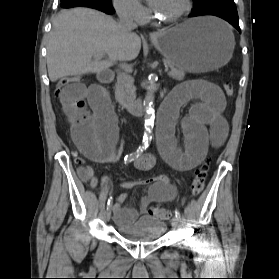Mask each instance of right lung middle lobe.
Returning <instances> with one entry per match:
<instances>
[{
    "mask_svg": "<svg viewBox=\"0 0 279 279\" xmlns=\"http://www.w3.org/2000/svg\"><path fill=\"white\" fill-rule=\"evenodd\" d=\"M101 2H103V3H105V4H109V5L112 4V3H111V0H101Z\"/></svg>",
    "mask_w": 279,
    "mask_h": 279,
    "instance_id": "obj_1",
    "label": "right lung middle lobe"
}]
</instances>
